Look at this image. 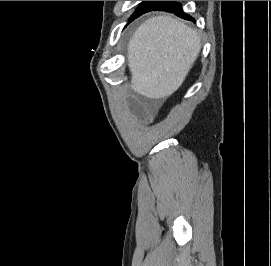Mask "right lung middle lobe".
<instances>
[{
	"label": "right lung middle lobe",
	"instance_id": "dd1d6c3e",
	"mask_svg": "<svg viewBox=\"0 0 271 266\" xmlns=\"http://www.w3.org/2000/svg\"><path fill=\"white\" fill-rule=\"evenodd\" d=\"M161 1H143V3L138 7V9L134 12L131 16L130 21L134 20L135 18L139 17L141 14L151 10Z\"/></svg>",
	"mask_w": 271,
	"mask_h": 266
}]
</instances>
